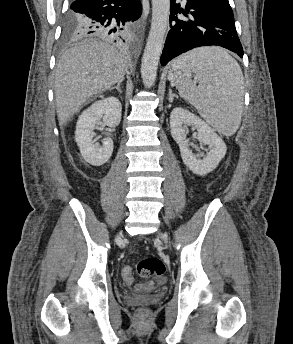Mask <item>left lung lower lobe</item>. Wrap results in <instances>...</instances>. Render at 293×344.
<instances>
[{"instance_id": "0a47b994", "label": "left lung lower lobe", "mask_w": 293, "mask_h": 344, "mask_svg": "<svg viewBox=\"0 0 293 344\" xmlns=\"http://www.w3.org/2000/svg\"><path fill=\"white\" fill-rule=\"evenodd\" d=\"M190 14L183 21L175 16ZM170 31L161 55L162 66L171 59L196 47L218 45L243 58V48L238 38L233 12L217 0H187L185 9L171 0Z\"/></svg>"}]
</instances>
